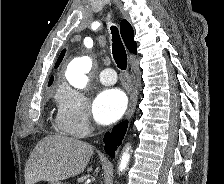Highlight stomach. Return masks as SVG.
I'll list each match as a JSON object with an SVG mask.
<instances>
[{
    "instance_id": "0dacf381",
    "label": "stomach",
    "mask_w": 224,
    "mask_h": 184,
    "mask_svg": "<svg viewBox=\"0 0 224 184\" xmlns=\"http://www.w3.org/2000/svg\"><path fill=\"white\" fill-rule=\"evenodd\" d=\"M48 184H64V183L61 181H51Z\"/></svg>"
}]
</instances>
